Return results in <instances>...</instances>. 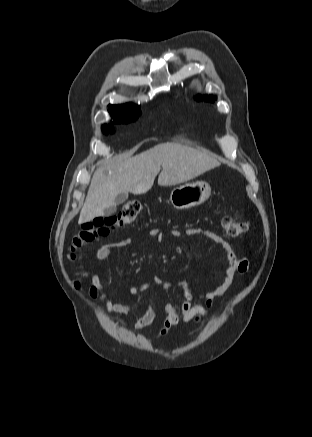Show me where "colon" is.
<instances>
[{"instance_id": "colon-1", "label": "colon", "mask_w": 312, "mask_h": 437, "mask_svg": "<svg viewBox=\"0 0 312 437\" xmlns=\"http://www.w3.org/2000/svg\"><path fill=\"white\" fill-rule=\"evenodd\" d=\"M143 210V205L138 200H128L121 206L120 211L113 216L99 217L88 222L73 238L71 250L74 253L83 244L91 242L98 237L108 235L111 231L130 224L137 219ZM224 232L228 237H240L249 228L246 220H237L226 217L223 220Z\"/></svg>"}]
</instances>
